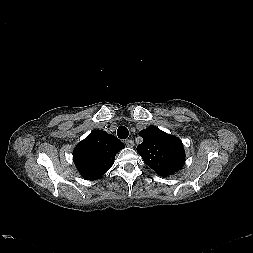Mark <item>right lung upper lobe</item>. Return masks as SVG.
<instances>
[{"label":"right lung upper lobe","instance_id":"1","mask_svg":"<svg viewBox=\"0 0 253 253\" xmlns=\"http://www.w3.org/2000/svg\"><path fill=\"white\" fill-rule=\"evenodd\" d=\"M124 147L115 136L96 130L76 146L74 162L83 178L96 180L111 168L116 153Z\"/></svg>","mask_w":253,"mask_h":253}]
</instances>
